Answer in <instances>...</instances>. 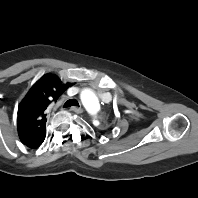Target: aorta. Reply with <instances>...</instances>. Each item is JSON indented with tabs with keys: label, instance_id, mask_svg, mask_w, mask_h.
<instances>
[{
	"label": "aorta",
	"instance_id": "aorta-1",
	"mask_svg": "<svg viewBox=\"0 0 198 198\" xmlns=\"http://www.w3.org/2000/svg\"><path fill=\"white\" fill-rule=\"evenodd\" d=\"M81 101L84 107L91 113L99 110L100 104L96 94L90 89H84L80 94Z\"/></svg>",
	"mask_w": 198,
	"mask_h": 198
}]
</instances>
